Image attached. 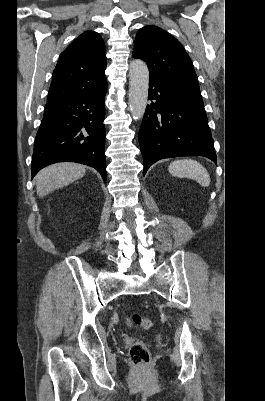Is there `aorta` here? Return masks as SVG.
<instances>
[{
  "instance_id": "obj_1",
  "label": "aorta",
  "mask_w": 265,
  "mask_h": 401,
  "mask_svg": "<svg viewBox=\"0 0 265 401\" xmlns=\"http://www.w3.org/2000/svg\"><path fill=\"white\" fill-rule=\"evenodd\" d=\"M129 108L134 120L144 116L149 88V70L146 62L136 58L129 66Z\"/></svg>"
}]
</instances>
